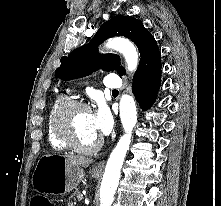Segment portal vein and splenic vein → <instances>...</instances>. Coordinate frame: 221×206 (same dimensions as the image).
Instances as JSON below:
<instances>
[{
	"label": "portal vein and splenic vein",
	"mask_w": 221,
	"mask_h": 206,
	"mask_svg": "<svg viewBox=\"0 0 221 206\" xmlns=\"http://www.w3.org/2000/svg\"><path fill=\"white\" fill-rule=\"evenodd\" d=\"M78 199H79V200H82V199H83L82 194L78 196Z\"/></svg>",
	"instance_id": "1"
}]
</instances>
